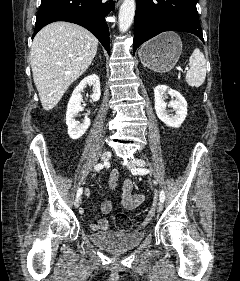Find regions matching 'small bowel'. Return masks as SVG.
Segmentation results:
<instances>
[{
    "instance_id": "c3829d8e",
    "label": "small bowel",
    "mask_w": 240,
    "mask_h": 281,
    "mask_svg": "<svg viewBox=\"0 0 240 281\" xmlns=\"http://www.w3.org/2000/svg\"><path fill=\"white\" fill-rule=\"evenodd\" d=\"M120 174L119 171L114 169L110 173L108 186L110 189H113L118 180ZM86 195L90 194V191L87 189L85 192ZM145 197L141 193H133V183L129 178H124L122 181V195H121V202L122 205L127 209H135L140 206ZM112 210V203L109 200H104L101 204V211L103 214H108ZM83 213V209L80 210ZM90 228L93 231H106L109 229V222L107 219H100L97 222L90 223Z\"/></svg>"
}]
</instances>
